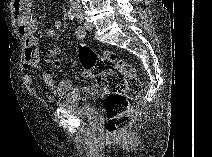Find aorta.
Here are the masks:
<instances>
[{"label": "aorta", "instance_id": "aorta-1", "mask_svg": "<svg viewBox=\"0 0 212 157\" xmlns=\"http://www.w3.org/2000/svg\"><path fill=\"white\" fill-rule=\"evenodd\" d=\"M79 0L75 1V4H78Z\"/></svg>", "mask_w": 212, "mask_h": 157}]
</instances>
